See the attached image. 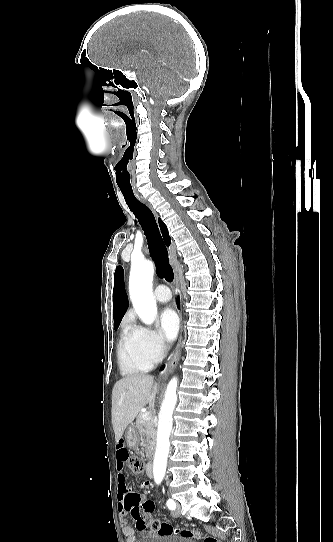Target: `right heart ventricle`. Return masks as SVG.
Wrapping results in <instances>:
<instances>
[{
    "label": "right heart ventricle",
    "mask_w": 333,
    "mask_h": 542,
    "mask_svg": "<svg viewBox=\"0 0 333 542\" xmlns=\"http://www.w3.org/2000/svg\"><path fill=\"white\" fill-rule=\"evenodd\" d=\"M135 328L136 326L129 322L118 345L120 366L125 374L147 372L157 363V356L148 352L135 338Z\"/></svg>",
    "instance_id": "obj_1"
}]
</instances>
